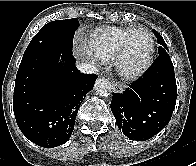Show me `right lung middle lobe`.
<instances>
[{
	"label": "right lung middle lobe",
	"instance_id": "obj_1",
	"mask_svg": "<svg viewBox=\"0 0 196 166\" xmlns=\"http://www.w3.org/2000/svg\"><path fill=\"white\" fill-rule=\"evenodd\" d=\"M78 27L79 21L76 18L45 24L31 40L23 56L45 50L72 55L73 37Z\"/></svg>",
	"mask_w": 196,
	"mask_h": 166
}]
</instances>
